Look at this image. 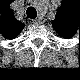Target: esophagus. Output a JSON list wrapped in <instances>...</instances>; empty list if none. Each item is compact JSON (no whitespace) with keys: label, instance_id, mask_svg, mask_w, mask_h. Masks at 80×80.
<instances>
[{"label":"esophagus","instance_id":"obj_1","mask_svg":"<svg viewBox=\"0 0 80 80\" xmlns=\"http://www.w3.org/2000/svg\"><path fill=\"white\" fill-rule=\"evenodd\" d=\"M32 22H33L34 24H37V25L42 23L41 20L38 19V18L32 20Z\"/></svg>","mask_w":80,"mask_h":80}]
</instances>
